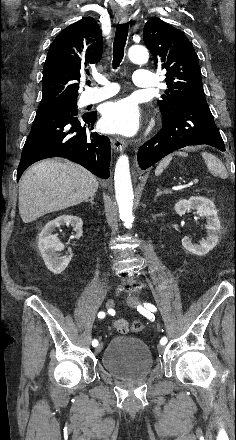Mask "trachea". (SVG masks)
Returning <instances> with one entry per match:
<instances>
[{
	"instance_id": "1",
	"label": "trachea",
	"mask_w": 236,
	"mask_h": 440,
	"mask_svg": "<svg viewBox=\"0 0 236 440\" xmlns=\"http://www.w3.org/2000/svg\"><path fill=\"white\" fill-rule=\"evenodd\" d=\"M129 22L117 26L113 43V68L117 69L124 56V47L127 40ZM90 84V81L88 82Z\"/></svg>"
}]
</instances>
